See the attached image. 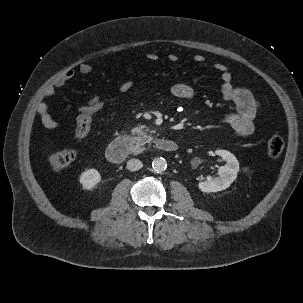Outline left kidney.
<instances>
[{"label":"left kidney","mask_w":303,"mask_h":303,"mask_svg":"<svg viewBox=\"0 0 303 303\" xmlns=\"http://www.w3.org/2000/svg\"><path fill=\"white\" fill-rule=\"evenodd\" d=\"M215 154L223 158L226 164L218 169V177L208 176L206 181L199 182L198 188L205 193L225 190L236 179L239 171V162L234 154L227 150H216Z\"/></svg>","instance_id":"5707ae66"}]
</instances>
